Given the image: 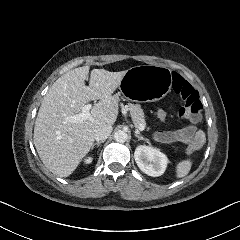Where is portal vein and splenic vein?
<instances>
[{"label": "portal vein and splenic vein", "instance_id": "portal-vein-and-splenic-vein-1", "mask_svg": "<svg viewBox=\"0 0 240 240\" xmlns=\"http://www.w3.org/2000/svg\"><path fill=\"white\" fill-rule=\"evenodd\" d=\"M92 105L91 104H87V105H84L82 107V110L80 113L78 114H75L73 116H68L65 118V120L67 122H72V123H79V122H83L85 120H88L89 118H91V113H90V109H91ZM138 130L139 131H144L145 130V125L144 124H138Z\"/></svg>", "mask_w": 240, "mask_h": 240}]
</instances>
